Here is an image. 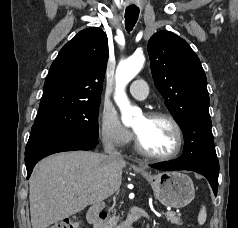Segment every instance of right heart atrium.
Segmentation results:
<instances>
[{"label":"right heart atrium","instance_id":"1","mask_svg":"<svg viewBox=\"0 0 238 228\" xmlns=\"http://www.w3.org/2000/svg\"><path fill=\"white\" fill-rule=\"evenodd\" d=\"M99 136L106 146L117 149L126 147L132 139L116 111L108 106L102 109L99 117Z\"/></svg>","mask_w":238,"mask_h":228}]
</instances>
